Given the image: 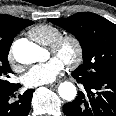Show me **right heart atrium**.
I'll use <instances>...</instances> for the list:
<instances>
[{"instance_id":"obj_1","label":"right heart atrium","mask_w":116,"mask_h":116,"mask_svg":"<svg viewBox=\"0 0 116 116\" xmlns=\"http://www.w3.org/2000/svg\"><path fill=\"white\" fill-rule=\"evenodd\" d=\"M7 61L11 66H14L15 64V57L13 55L12 50L10 49L7 53Z\"/></svg>"}]
</instances>
